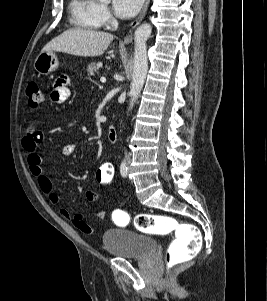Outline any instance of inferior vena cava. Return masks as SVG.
<instances>
[{
	"label": "inferior vena cava",
	"instance_id": "1",
	"mask_svg": "<svg viewBox=\"0 0 267 301\" xmlns=\"http://www.w3.org/2000/svg\"><path fill=\"white\" fill-rule=\"evenodd\" d=\"M125 159L129 160V155L125 152Z\"/></svg>",
	"mask_w": 267,
	"mask_h": 301
}]
</instances>
